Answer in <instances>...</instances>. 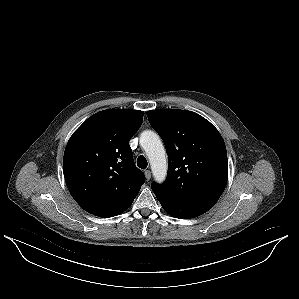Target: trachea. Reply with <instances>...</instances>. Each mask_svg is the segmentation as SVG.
<instances>
[{
  "label": "trachea",
  "mask_w": 299,
  "mask_h": 299,
  "mask_svg": "<svg viewBox=\"0 0 299 299\" xmlns=\"http://www.w3.org/2000/svg\"><path fill=\"white\" fill-rule=\"evenodd\" d=\"M148 163L146 158L143 155H140L137 158V166L141 169H145L147 167Z\"/></svg>",
  "instance_id": "1"
}]
</instances>
